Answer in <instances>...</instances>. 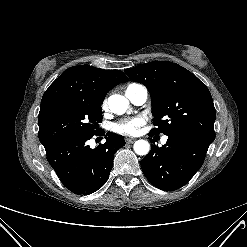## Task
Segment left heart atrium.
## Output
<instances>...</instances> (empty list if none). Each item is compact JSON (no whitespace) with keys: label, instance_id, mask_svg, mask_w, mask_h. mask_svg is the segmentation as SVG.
<instances>
[{"label":"left heart atrium","instance_id":"left-heart-atrium-1","mask_svg":"<svg viewBox=\"0 0 247 247\" xmlns=\"http://www.w3.org/2000/svg\"><path fill=\"white\" fill-rule=\"evenodd\" d=\"M146 123V117L136 115L128 118H123L112 125V130L119 134L134 135L137 134L140 127Z\"/></svg>","mask_w":247,"mask_h":247}]
</instances>
